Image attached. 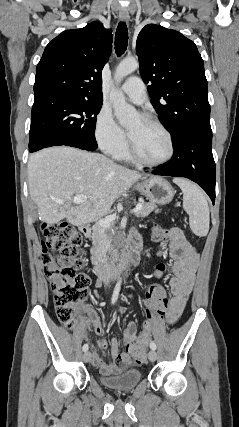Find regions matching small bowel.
Returning <instances> with one entry per match:
<instances>
[{
    "label": "small bowel",
    "instance_id": "1",
    "mask_svg": "<svg viewBox=\"0 0 239 427\" xmlns=\"http://www.w3.org/2000/svg\"><path fill=\"white\" fill-rule=\"evenodd\" d=\"M166 235H170L171 242L169 244V254L173 258L172 265L173 275L170 279V290L172 298L168 301L166 299L165 318L170 324L175 323L181 316L189 294L192 290L195 273L199 261V253L187 241L181 229L177 227L170 228ZM132 243L141 244V239L138 233L133 232L131 237ZM97 287H101V281H97ZM124 308L119 309V313L123 314ZM93 323V330L96 335L102 334V326L96 315L92 310L88 311ZM124 342L130 347L137 338V325L135 322H129L124 330ZM98 350H103L107 347V342L103 338H98L96 341ZM110 355L111 362L104 361L98 353H93L91 361L102 374L113 375L118 374L125 370L131 363L130 356L127 353L119 352V344L116 338L110 341Z\"/></svg>",
    "mask_w": 239,
    "mask_h": 427
}]
</instances>
